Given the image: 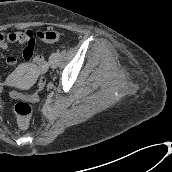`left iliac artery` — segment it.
<instances>
[{
	"instance_id": "1",
	"label": "left iliac artery",
	"mask_w": 172,
	"mask_h": 172,
	"mask_svg": "<svg viewBox=\"0 0 172 172\" xmlns=\"http://www.w3.org/2000/svg\"><path fill=\"white\" fill-rule=\"evenodd\" d=\"M56 55H57V56H59V55H60L59 51H56Z\"/></svg>"
}]
</instances>
